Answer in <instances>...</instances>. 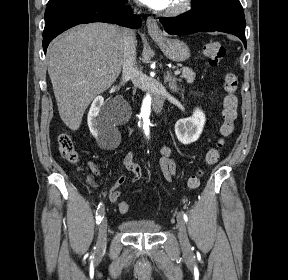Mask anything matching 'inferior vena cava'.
Returning <instances> with one entry per match:
<instances>
[{
	"mask_svg": "<svg viewBox=\"0 0 288 280\" xmlns=\"http://www.w3.org/2000/svg\"><path fill=\"white\" fill-rule=\"evenodd\" d=\"M123 44V76L131 79L136 87H140V90H148L149 96L153 97L151 100L152 110H155V114H160L163 101L166 100L169 90L163 89L158 78H145L144 74L137 68L134 30L128 28L123 30Z\"/></svg>",
	"mask_w": 288,
	"mask_h": 280,
	"instance_id": "1",
	"label": "inferior vena cava"
}]
</instances>
